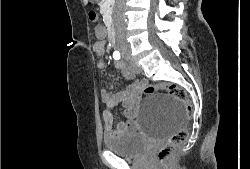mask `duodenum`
Listing matches in <instances>:
<instances>
[{
  "label": "duodenum",
  "instance_id": "duodenum-1",
  "mask_svg": "<svg viewBox=\"0 0 250 169\" xmlns=\"http://www.w3.org/2000/svg\"><path fill=\"white\" fill-rule=\"evenodd\" d=\"M109 40H110V42H111L112 44H115V43H116V36H115L114 31H111V32H110Z\"/></svg>",
  "mask_w": 250,
  "mask_h": 169
}]
</instances>
